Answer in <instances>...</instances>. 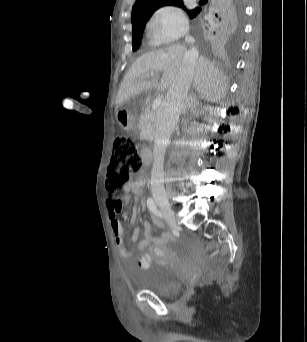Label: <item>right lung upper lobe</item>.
Segmentation results:
<instances>
[{"label": "right lung upper lobe", "mask_w": 307, "mask_h": 342, "mask_svg": "<svg viewBox=\"0 0 307 342\" xmlns=\"http://www.w3.org/2000/svg\"><path fill=\"white\" fill-rule=\"evenodd\" d=\"M201 8L187 11L190 18H196L201 34L213 42L222 41L228 34L238 14L237 0H201ZM183 6L182 0H136L132 7V34L142 33L153 12L161 6Z\"/></svg>", "instance_id": "1"}]
</instances>
